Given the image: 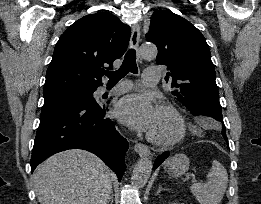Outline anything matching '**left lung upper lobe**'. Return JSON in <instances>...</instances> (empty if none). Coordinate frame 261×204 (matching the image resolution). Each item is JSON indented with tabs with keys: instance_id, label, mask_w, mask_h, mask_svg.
<instances>
[{
	"instance_id": "1",
	"label": "left lung upper lobe",
	"mask_w": 261,
	"mask_h": 204,
	"mask_svg": "<svg viewBox=\"0 0 261 204\" xmlns=\"http://www.w3.org/2000/svg\"><path fill=\"white\" fill-rule=\"evenodd\" d=\"M146 39L158 48L157 64L166 65L172 94L194 115L225 132L215 68L202 33L171 11L152 14ZM226 133V132H225Z\"/></svg>"
}]
</instances>
